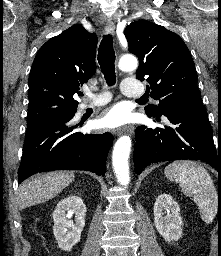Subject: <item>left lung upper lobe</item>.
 Returning <instances> with one entry per match:
<instances>
[{
	"instance_id": "obj_1",
	"label": "left lung upper lobe",
	"mask_w": 221,
	"mask_h": 256,
	"mask_svg": "<svg viewBox=\"0 0 221 256\" xmlns=\"http://www.w3.org/2000/svg\"><path fill=\"white\" fill-rule=\"evenodd\" d=\"M125 36L129 51L139 58L137 79L146 80L148 93L159 101L145 107L148 116H160L170 109L206 110L193 59L176 33L142 20L128 25Z\"/></svg>"
}]
</instances>
